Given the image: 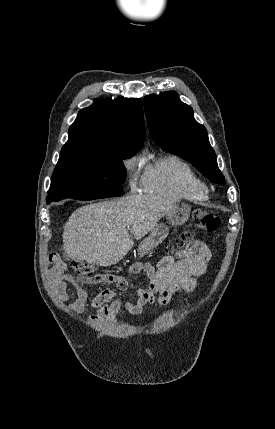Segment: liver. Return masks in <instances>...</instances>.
I'll list each match as a JSON object with an SVG mask.
<instances>
[{"instance_id": "1", "label": "liver", "mask_w": 275, "mask_h": 429, "mask_svg": "<svg viewBox=\"0 0 275 429\" xmlns=\"http://www.w3.org/2000/svg\"><path fill=\"white\" fill-rule=\"evenodd\" d=\"M176 201L153 195H132L78 208L64 227L67 255L100 266L117 264L136 240L147 235Z\"/></svg>"}]
</instances>
